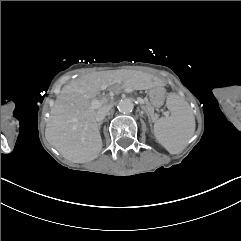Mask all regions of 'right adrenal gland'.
Returning <instances> with one entry per match:
<instances>
[{
	"label": "right adrenal gland",
	"mask_w": 241,
	"mask_h": 241,
	"mask_svg": "<svg viewBox=\"0 0 241 241\" xmlns=\"http://www.w3.org/2000/svg\"><path fill=\"white\" fill-rule=\"evenodd\" d=\"M102 122L98 123L99 130L101 129Z\"/></svg>",
	"instance_id": "2a0ac1e0"
}]
</instances>
